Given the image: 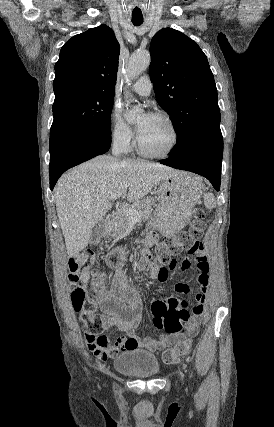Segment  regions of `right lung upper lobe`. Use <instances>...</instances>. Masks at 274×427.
<instances>
[{"label": "right lung upper lobe", "instance_id": "right-lung-upper-lobe-1", "mask_svg": "<svg viewBox=\"0 0 274 427\" xmlns=\"http://www.w3.org/2000/svg\"><path fill=\"white\" fill-rule=\"evenodd\" d=\"M120 46L102 24L75 35L61 48L55 64V101L68 95H114Z\"/></svg>", "mask_w": 274, "mask_h": 427}]
</instances>
